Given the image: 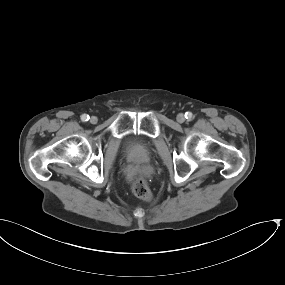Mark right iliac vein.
<instances>
[{
	"instance_id": "1",
	"label": "right iliac vein",
	"mask_w": 285,
	"mask_h": 285,
	"mask_svg": "<svg viewBox=\"0 0 285 285\" xmlns=\"http://www.w3.org/2000/svg\"><path fill=\"white\" fill-rule=\"evenodd\" d=\"M97 121H98V119H97V117H95V116H92V117L90 118V123H91V124H96Z\"/></svg>"
}]
</instances>
